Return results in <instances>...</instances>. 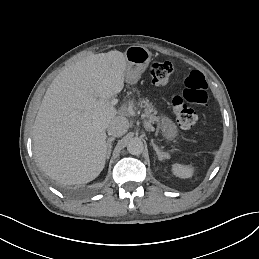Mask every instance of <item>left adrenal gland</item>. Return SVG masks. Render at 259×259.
Segmentation results:
<instances>
[{
  "mask_svg": "<svg viewBox=\"0 0 259 259\" xmlns=\"http://www.w3.org/2000/svg\"><path fill=\"white\" fill-rule=\"evenodd\" d=\"M154 146V144H153ZM154 150L157 154V156L160 158V161H166L170 159V156L168 154L162 153L156 146H154Z\"/></svg>",
  "mask_w": 259,
  "mask_h": 259,
  "instance_id": "a2214340",
  "label": "left adrenal gland"
}]
</instances>
